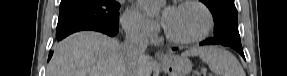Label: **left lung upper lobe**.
<instances>
[{
  "label": "left lung upper lobe",
  "instance_id": "obj_1",
  "mask_svg": "<svg viewBox=\"0 0 287 76\" xmlns=\"http://www.w3.org/2000/svg\"><path fill=\"white\" fill-rule=\"evenodd\" d=\"M214 19V39L224 45H241L234 0H200Z\"/></svg>",
  "mask_w": 287,
  "mask_h": 76
}]
</instances>
